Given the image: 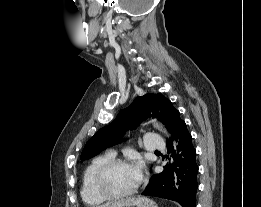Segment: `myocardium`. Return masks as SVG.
Here are the masks:
<instances>
[{
    "label": "myocardium",
    "mask_w": 261,
    "mask_h": 207,
    "mask_svg": "<svg viewBox=\"0 0 261 207\" xmlns=\"http://www.w3.org/2000/svg\"><path fill=\"white\" fill-rule=\"evenodd\" d=\"M120 165H131V163L127 159L122 158H113L108 162L104 163L96 172L94 185L97 192L107 200H117L122 199L128 196L133 195L139 188L140 179H138L137 183L133 188L126 192L115 193L110 190L107 184L108 175L111 170Z\"/></svg>",
    "instance_id": "myocardium-1"
}]
</instances>
